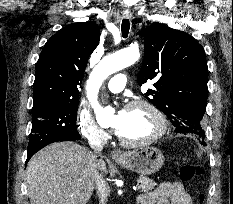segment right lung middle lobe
I'll list each match as a JSON object with an SVG mask.
<instances>
[{
	"label": "right lung middle lobe",
	"instance_id": "right-lung-middle-lobe-1",
	"mask_svg": "<svg viewBox=\"0 0 233 204\" xmlns=\"http://www.w3.org/2000/svg\"><path fill=\"white\" fill-rule=\"evenodd\" d=\"M79 101L50 103L32 108V130L28 151H39L64 138H80L76 129Z\"/></svg>",
	"mask_w": 233,
	"mask_h": 204
}]
</instances>
